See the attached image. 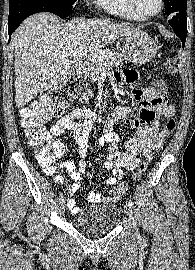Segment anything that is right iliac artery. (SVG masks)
Instances as JSON below:
<instances>
[{
    "label": "right iliac artery",
    "instance_id": "obj_1",
    "mask_svg": "<svg viewBox=\"0 0 195 270\" xmlns=\"http://www.w3.org/2000/svg\"><path fill=\"white\" fill-rule=\"evenodd\" d=\"M63 199V194L61 193L60 195H59V200H62Z\"/></svg>",
    "mask_w": 195,
    "mask_h": 270
}]
</instances>
